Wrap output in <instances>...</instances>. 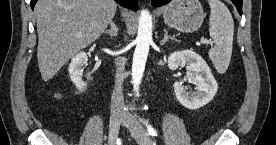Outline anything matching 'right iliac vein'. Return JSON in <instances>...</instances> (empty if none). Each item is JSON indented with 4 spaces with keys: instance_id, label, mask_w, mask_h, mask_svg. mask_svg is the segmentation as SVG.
I'll return each mask as SVG.
<instances>
[{
    "instance_id": "63e3f726",
    "label": "right iliac vein",
    "mask_w": 276,
    "mask_h": 145,
    "mask_svg": "<svg viewBox=\"0 0 276 145\" xmlns=\"http://www.w3.org/2000/svg\"><path fill=\"white\" fill-rule=\"evenodd\" d=\"M123 122V117L120 115H113L110 118L108 144L115 145L118 138L120 125Z\"/></svg>"
}]
</instances>
